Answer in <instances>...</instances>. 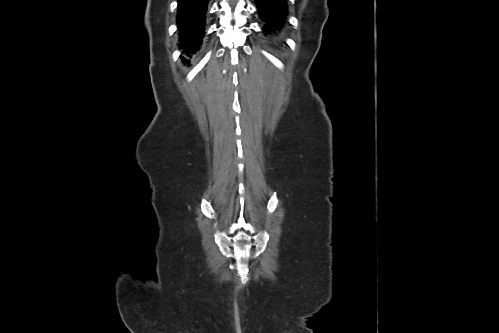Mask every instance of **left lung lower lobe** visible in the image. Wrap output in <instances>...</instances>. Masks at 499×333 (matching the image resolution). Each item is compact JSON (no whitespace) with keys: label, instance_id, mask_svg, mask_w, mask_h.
<instances>
[{"label":"left lung lower lobe","instance_id":"left-lung-lower-lobe-1","mask_svg":"<svg viewBox=\"0 0 499 333\" xmlns=\"http://www.w3.org/2000/svg\"><path fill=\"white\" fill-rule=\"evenodd\" d=\"M259 15L266 21L264 30L281 27L287 14L286 0H256ZM270 33V31L268 32Z\"/></svg>","mask_w":499,"mask_h":333}]
</instances>
